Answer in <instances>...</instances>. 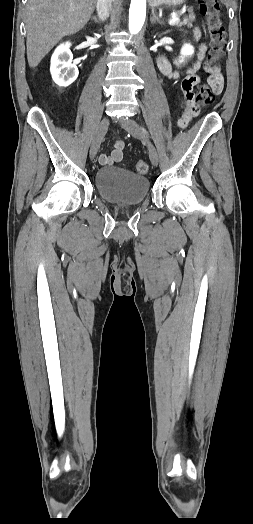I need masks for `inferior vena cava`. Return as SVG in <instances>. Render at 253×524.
Returning <instances> with one entry per match:
<instances>
[{
	"label": "inferior vena cava",
	"instance_id": "inferior-vena-cava-1",
	"mask_svg": "<svg viewBox=\"0 0 253 524\" xmlns=\"http://www.w3.org/2000/svg\"><path fill=\"white\" fill-rule=\"evenodd\" d=\"M112 0H97L96 9L100 20H105L109 17Z\"/></svg>",
	"mask_w": 253,
	"mask_h": 524
}]
</instances>
